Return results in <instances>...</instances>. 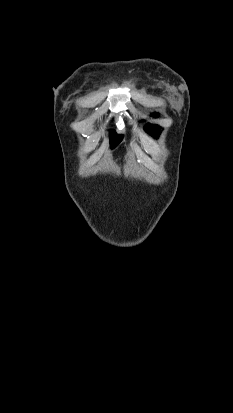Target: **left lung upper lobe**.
I'll return each mask as SVG.
<instances>
[{
    "mask_svg": "<svg viewBox=\"0 0 233 413\" xmlns=\"http://www.w3.org/2000/svg\"><path fill=\"white\" fill-rule=\"evenodd\" d=\"M145 131L152 135L154 138H158L159 134L161 133V127L154 126L152 124H147L144 127Z\"/></svg>",
    "mask_w": 233,
    "mask_h": 413,
    "instance_id": "5c2ea615",
    "label": "left lung upper lobe"
}]
</instances>
